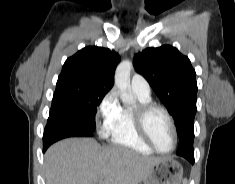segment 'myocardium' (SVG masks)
I'll return each instance as SVG.
<instances>
[{"label":"myocardium","instance_id":"obj_1","mask_svg":"<svg viewBox=\"0 0 235 184\" xmlns=\"http://www.w3.org/2000/svg\"><path fill=\"white\" fill-rule=\"evenodd\" d=\"M156 110L161 111L162 113L165 114L171 126L174 136V146L170 152H163L160 149H158L149 131L148 119L150 114ZM133 118L137 132L146 141V143L149 145V147L152 149L154 153L161 156H170L176 151V148L178 146V131L176 128L174 118L166 107L157 103L140 104L133 112Z\"/></svg>","mask_w":235,"mask_h":184}]
</instances>
